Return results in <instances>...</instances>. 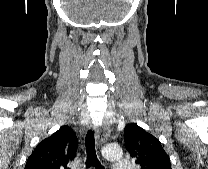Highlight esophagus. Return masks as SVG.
Here are the masks:
<instances>
[{
  "instance_id": "1",
  "label": "esophagus",
  "mask_w": 208,
  "mask_h": 169,
  "mask_svg": "<svg viewBox=\"0 0 208 169\" xmlns=\"http://www.w3.org/2000/svg\"><path fill=\"white\" fill-rule=\"evenodd\" d=\"M110 135V130L106 123L98 129L97 135H96V143L98 146L102 145Z\"/></svg>"
}]
</instances>
